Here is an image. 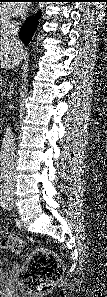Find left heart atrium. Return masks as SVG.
<instances>
[{
	"instance_id": "left-heart-atrium-1",
	"label": "left heart atrium",
	"mask_w": 107,
	"mask_h": 297,
	"mask_svg": "<svg viewBox=\"0 0 107 297\" xmlns=\"http://www.w3.org/2000/svg\"><path fill=\"white\" fill-rule=\"evenodd\" d=\"M7 9L13 15H19L25 12L26 5L23 3H9Z\"/></svg>"
}]
</instances>
